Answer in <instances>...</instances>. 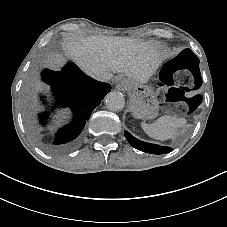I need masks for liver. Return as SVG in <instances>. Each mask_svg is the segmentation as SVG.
Returning <instances> with one entry per match:
<instances>
[{
	"label": "liver",
	"instance_id": "obj_1",
	"mask_svg": "<svg viewBox=\"0 0 227 227\" xmlns=\"http://www.w3.org/2000/svg\"><path fill=\"white\" fill-rule=\"evenodd\" d=\"M64 48L92 77L125 72L139 84H146L163 61L152 44L122 37H79L69 40Z\"/></svg>",
	"mask_w": 227,
	"mask_h": 227
}]
</instances>
